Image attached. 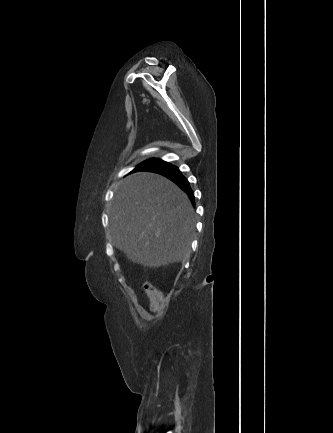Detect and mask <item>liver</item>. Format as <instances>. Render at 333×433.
Returning a JSON list of instances; mask_svg holds the SVG:
<instances>
[{"mask_svg":"<svg viewBox=\"0 0 333 433\" xmlns=\"http://www.w3.org/2000/svg\"><path fill=\"white\" fill-rule=\"evenodd\" d=\"M109 222L114 246L134 263L158 268L188 258L194 210L185 192L161 175L137 172L122 180Z\"/></svg>","mask_w":333,"mask_h":433,"instance_id":"obj_1","label":"liver"}]
</instances>
